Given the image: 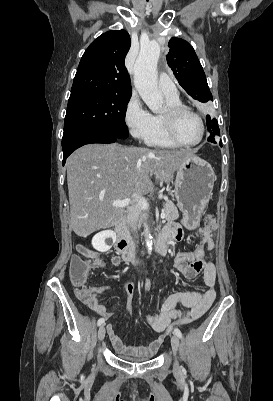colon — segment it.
<instances>
[{
	"label": "colon",
	"instance_id": "obj_1",
	"mask_svg": "<svg viewBox=\"0 0 273 401\" xmlns=\"http://www.w3.org/2000/svg\"><path fill=\"white\" fill-rule=\"evenodd\" d=\"M90 262L84 257H73L72 261L67 263L69 274L71 276L70 286L73 293H77L79 297H90L92 291H98V286H92L91 279L87 278L86 270L90 269ZM83 282V284H81ZM145 289L150 291L153 289V284L148 282L145 284ZM145 291V290H144Z\"/></svg>",
	"mask_w": 273,
	"mask_h": 401
}]
</instances>
